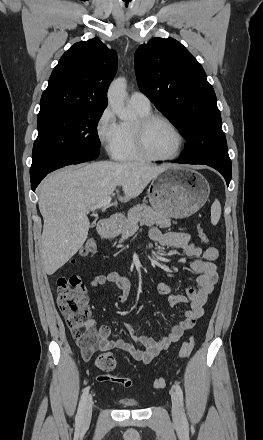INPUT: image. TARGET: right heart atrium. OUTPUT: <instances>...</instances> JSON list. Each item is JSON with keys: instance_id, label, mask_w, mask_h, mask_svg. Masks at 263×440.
I'll list each match as a JSON object with an SVG mask.
<instances>
[{"instance_id": "obj_1", "label": "right heart atrium", "mask_w": 263, "mask_h": 440, "mask_svg": "<svg viewBox=\"0 0 263 440\" xmlns=\"http://www.w3.org/2000/svg\"><path fill=\"white\" fill-rule=\"evenodd\" d=\"M95 131L105 151L115 156L122 142L123 130L110 106H106L100 113Z\"/></svg>"}]
</instances>
